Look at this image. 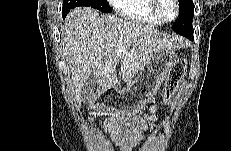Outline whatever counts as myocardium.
Listing matches in <instances>:
<instances>
[{
    "label": "myocardium",
    "instance_id": "f54148a6",
    "mask_svg": "<svg viewBox=\"0 0 231 151\" xmlns=\"http://www.w3.org/2000/svg\"><path fill=\"white\" fill-rule=\"evenodd\" d=\"M159 1L160 0H150V11L153 14V16L160 21L161 23H170L174 21L178 16L180 12V6H179V1L178 0H172L173 5L175 7V13L174 16L170 19L164 18L160 12H159Z\"/></svg>",
    "mask_w": 231,
    "mask_h": 151
}]
</instances>
